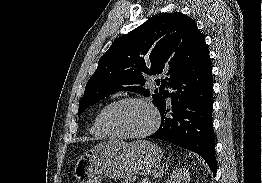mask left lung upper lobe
Listing matches in <instances>:
<instances>
[{
	"instance_id": "left-lung-upper-lobe-1",
	"label": "left lung upper lobe",
	"mask_w": 262,
	"mask_h": 183,
	"mask_svg": "<svg viewBox=\"0 0 262 183\" xmlns=\"http://www.w3.org/2000/svg\"><path fill=\"white\" fill-rule=\"evenodd\" d=\"M206 46L195 21L182 13L156 16L115 40L99 59L80 100L78 116L89 106L118 91L150 96L147 75H169V84ZM152 95L159 109L168 97L166 79L156 80Z\"/></svg>"
}]
</instances>
